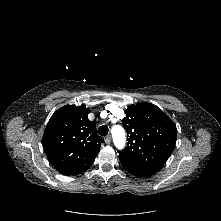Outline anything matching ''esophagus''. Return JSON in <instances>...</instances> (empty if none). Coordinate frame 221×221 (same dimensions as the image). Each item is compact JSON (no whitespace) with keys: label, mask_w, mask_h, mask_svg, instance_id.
<instances>
[{"label":"esophagus","mask_w":221,"mask_h":221,"mask_svg":"<svg viewBox=\"0 0 221 221\" xmlns=\"http://www.w3.org/2000/svg\"><path fill=\"white\" fill-rule=\"evenodd\" d=\"M104 140H105V143H106V144H110L111 141H112V138H111L110 135H108V136H106V137L104 138Z\"/></svg>","instance_id":"1"}]
</instances>
